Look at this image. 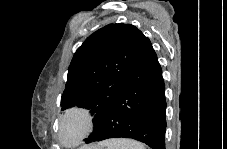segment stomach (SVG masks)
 Wrapping results in <instances>:
<instances>
[{"mask_svg":"<svg viewBox=\"0 0 227 149\" xmlns=\"http://www.w3.org/2000/svg\"><path fill=\"white\" fill-rule=\"evenodd\" d=\"M88 149H97V148H88Z\"/></svg>","mask_w":227,"mask_h":149,"instance_id":"0dacf381","label":"stomach"}]
</instances>
